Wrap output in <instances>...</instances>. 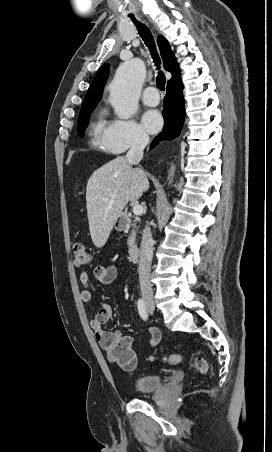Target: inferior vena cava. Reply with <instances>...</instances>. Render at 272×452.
I'll return each mask as SVG.
<instances>
[{"instance_id":"obj_1","label":"inferior vena cava","mask_w":272,"mask_h":452,"mask_svg":"<svg viewBox=\"0 0 272 452\" xmlns=\"http://www.w3.org/2000/svg\"><path fill=\"white\" fill-rule=\"evenodd\" d=\"M149 143V136L145 133H139L135 137L131 148L126 154L129 163L137 165L143 158L144 148ZM153 257V239L149 223L143 230L142 241L140 246L139 260V280L141 295L144 300L153 299V290L150 281L151 262Z\"/></svg>"}]
</instances>
